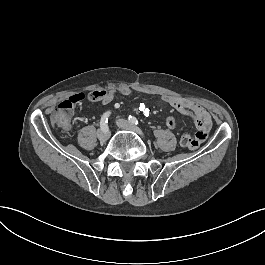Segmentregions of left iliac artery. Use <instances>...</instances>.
Wrapping results in <instances>:
<instances>
[{
	"label": "left iliac artery",
	"mask_w": 265,
	"mask_h": 265,
	"mask_svg": "<svg viewBox=\"0 0 265 265\" xmlns=\"http://www.w3.org/2000/svg\"><path fill=\"white\" fill-rule=\"evenodd\" d=\"M128 120L131 122V123H133V124H135V125H138L139 124V122H138V120L136 119V117H134V116H129L128 117Z\"/></svg>",
	"instance_id": "obj_1"
}]
</instances>
